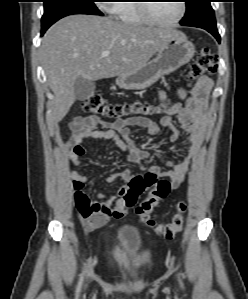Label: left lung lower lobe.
<instances>
[{
	"mask_svg": "<svg viewBox=\"0 0 248 299\" xmlns=\"http://www.w3.org/2000/svg\"><path fill=\"white\" fill-rule=\"evenodd\" d=\"M201 28H203V29L207 30L209 33H211L217 39V41L220 43V35L218 33L216 26L201 27Z\"/></svg>",
	"mask_w": 248,
	"mask_h": 299,
	"instance_id": "0a47b994",
	"label": "left lung lower lobe"
}]
</instances>
